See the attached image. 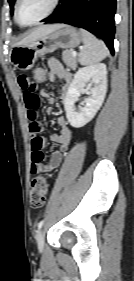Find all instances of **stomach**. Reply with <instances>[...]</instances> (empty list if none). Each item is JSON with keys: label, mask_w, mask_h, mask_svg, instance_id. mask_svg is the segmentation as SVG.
Segmentation results:
<instances>
[{"label": "stomach", "mask_w": 134, "mask_h": 281, "mask_svg": "<svg viewBox=\"0 0 134 281\" xmlns=\"http://www.w3.org/2000/svg\"><path fill=\"white\" fill-rule=\"evenodd\" d=\"M83 37L79 30L70 25L60 27L32 43L16 45L10 51V61L19 70L31 69L36 60L58 48H74L78 46Z\"/></svg>", "instance_id": "obj_1"}]
</instances>
